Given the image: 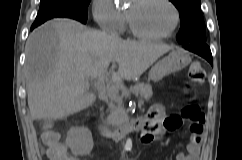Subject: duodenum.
<instances>
[{"label":"duodenum","mask_w":242,"mask_h":160,"mask_svg":"<svg viewBox=\"0 0 242 160\" xmlns=\"http://www.w3.org/2000/svg\"><path fill=\"white\" fill-rule=\"evenodd\" d=\"M146 122H147L146 118L140 117L130 121L129 123H127L126 125L120 127L115 131L108 129V127L105 124H99L98 130L101 136L105 138H109L113 141H119L129 133L143 129Z\"/></svg>","instance_id":"obj_1"}]
</instances>
